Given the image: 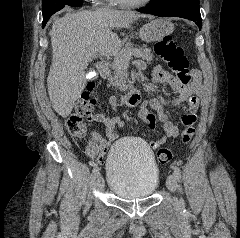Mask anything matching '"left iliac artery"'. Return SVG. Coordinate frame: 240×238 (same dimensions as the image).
<instances>
[{"label": "left iliac artery", "mask_w": 240, "mask_h": 238, "mask_svg": "<svg viewBox=\"0 0 240 238\" xmlns=\"http://www.w3.org/2000/svg\"><path fill=\"white\" fill-rule=\"evenodd\" d=\"M173 170H174V176L176 177L177 180L180 181L181 179V170L177 165H173L172 166Z\"/></svg>", "instance_id": "left-iliac-artery-1"}]
</instances>
